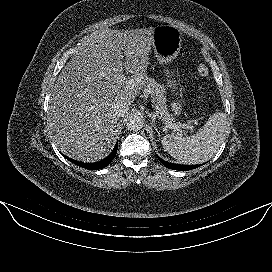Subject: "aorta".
<instances>
[{"label": "aorta", "instance_id": "1", "mask_svg": "<svg viewBox=\"0 0 272 272\" xmlns=\"http://www.w3.org/2000/svg\"><path fill=\"white\" fill-rule=\"evenodd\" d=\"M143 127V120L139 116H131L127 122V128L132 131H138Z\"/></svg>", "mask_w": 272, "mask_h": 272}]
</instances>
